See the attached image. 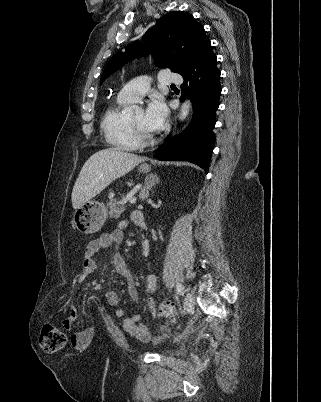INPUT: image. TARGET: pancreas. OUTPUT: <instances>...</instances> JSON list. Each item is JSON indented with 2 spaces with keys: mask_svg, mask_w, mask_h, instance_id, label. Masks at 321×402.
Returning a JSON list of instances; mask_svg holds the SVG:
<instances>
[{
  "mask_svg": "<svg viewBox=\"0 0 321 402\" xmlns=\"http://www.w3.org/2000/svg\"><path fill=\"white\" fill-rule=\"evenodd\" d=\"M109 206H110L109 215L111 218H119L120 215L126 210L125 203L120 202L115 198H110Z\"/></svg>",
  "mask_w": 321,
  "mask_h": 402,
  "instance_id": "1",
  "label": "pancreas"
}]
</instances>
